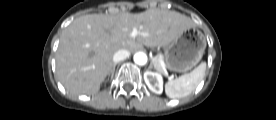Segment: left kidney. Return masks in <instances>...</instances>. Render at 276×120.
<instances>
[{
	"label": "left kidney",
	"mask_w": 276,
	"mask_h": 120,
	"mask_svg": "<svg viewBox=\"0 0 276 120\" xmlns=\"http://www.w3.org/2000/svg\"><path fill=\"white\" fill-rule=\"evenodd\" d=\"M144 80L148 88L156 93L161 94L163 91V79L159 73L146 71L144 73Z\"/></svg>",
	"instance_id": "1"
}]
</instances>
